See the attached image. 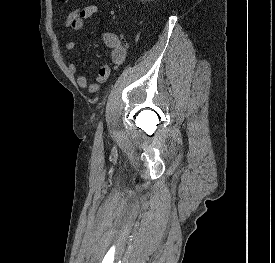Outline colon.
Instances as JSON below:
<instances>
[{
	"mask_svg": "<svg viewBox=\"0 0 275 263\" xmlns=\"http://www.w3.org/2000/svg\"><path fill=\"white\" fill-rule=\"evenodd\" d=\"M68 0H59L61 3H66Z\"/></svg>",
	"mask_w": 275,
	"mask_h": 263,
	"instance_id": "1",
	"label": "colon"
}]
</instances>
